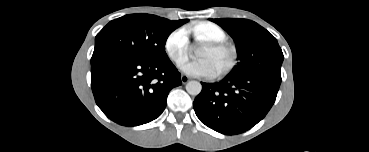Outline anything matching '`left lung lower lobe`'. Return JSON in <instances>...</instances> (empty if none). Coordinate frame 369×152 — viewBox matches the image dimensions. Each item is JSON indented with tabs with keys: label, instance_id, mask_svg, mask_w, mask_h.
I'll return each instance as SVG.
<instances>
[{
	"label": "left lung lower lobe",
	"instance_id": "obj_1",
	"mask_svg": "<svg viewBox=\"0 0 369 152\" xmlns=\"http://www.w3.org/2000/svg\"><path fill=\"white\" fill-rule=\"evenodd\" d=\"M281 77L228 74L218 83H202L193 106L209 128L225 134L245 132L261 121L275 102Z\"/></svg>",
	"mask_w": 369,
	"mask_h": 152
}]
</instances>
